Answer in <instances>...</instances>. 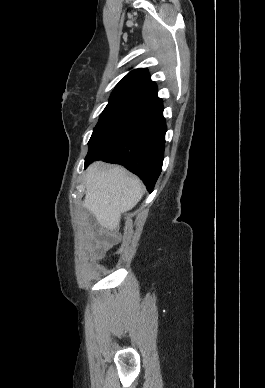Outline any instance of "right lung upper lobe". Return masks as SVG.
Listing matches in <instances>:
<instances>
[{
	"instance_id": "obj_1",
	"label": "right lung upper lobe",
	"mask_w": 265,
	"mask_h": 388,
	"mask_svg": "<svg viewBox=\"0 0 265 388\" xmlns=\"http://www.w3.org/2000/svg\"><path fill=\"white\" fill-rule=\"evenodd\" d=\"M112 94L133 96L148 102L156 99L157 86L151 81L148 71L139 68L130 71L117 85Z\"/></svg>"
}]
</instances>
